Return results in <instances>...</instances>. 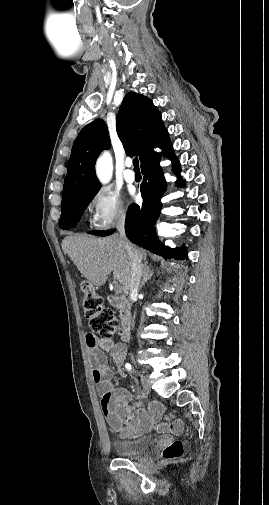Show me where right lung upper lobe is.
Here are the masks:
<instances>
[{
  "mask_svg": "<svg viewBox=\"0 0 269 505\" xmlns=\"http://www.w3.org/2000/svg\"><path fill=\"white\" fill-rule=\"evenodd\" d=\"M116 128L126 154L138 155L141 165L155 154L154 147L163 148L169 143L161 114L149 98L135 92L124 97ZM109 146L103 120L97 119L80 131L67 164L62 202L80 192L99 188L94 165L98 154Z\"/></svg>",
  "mask_w": 269,
  "mask_h": 505,
  "instance_id": "obj_1",
  "label": "right lung upper lobe"
}]
</instances>
